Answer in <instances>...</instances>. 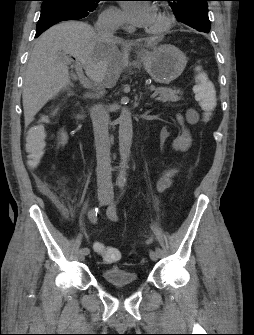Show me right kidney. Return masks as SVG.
<instances>
[{"mask_svg":"<svg viewBox=\"0 0 254 335\" xmlns=\"http://www.w3.org/2000/svg\"><path fill=\"white\" fill-rule=\"evenodd\" d=\"M59 145L64 146L68 142V135L64 130H61L58 136Z\"/></svg>","mask_w":254,"mask_h":335,"instance_id":"ca27d5eb","label":"right kidney"}]
</instances>
